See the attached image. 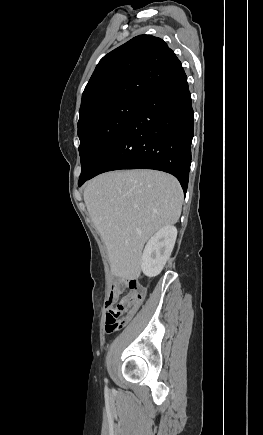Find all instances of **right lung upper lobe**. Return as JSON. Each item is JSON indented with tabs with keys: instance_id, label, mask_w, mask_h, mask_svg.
Here are the masks:
<instances>
[{
	"instance_id": "1",
	"label": "right lung upper lobe",
	"mask_w": 263,
	"mask_h": 435,
	"mask_svg": "<svg viewBox=\"0 0 263 435\" xmlns=\"http://www.w3.org/2000/svg\"><path fill=\"white\" fill-rule=\"evenodd\" d=\"M183 69L160 38L139 35L105 55L82 94L78 125L101 105L129 99L144 102Z\"/></svg>"
}]
</instances>
